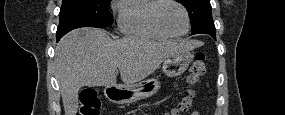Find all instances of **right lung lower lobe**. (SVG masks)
<instances>
[{
  "label": "right lung lower lobe",
  "instance_id": "1",
  "mask_svg": "<svg viewBox=\"0 0 285 115\" xmlns=\"http://www.w3.org/2000/svg\"><path fill=\"white\" fill-rule=\"evenodd\" d=\"M61 37H57V41L60 39Z\"/></svg>",
  "mask_w": 285,
  "mask_h": 115
}]
</instances>
